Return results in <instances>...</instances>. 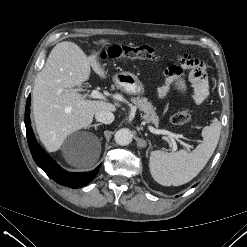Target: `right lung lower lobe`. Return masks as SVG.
<instances>
[{
    "instance_id": "obj_1",
    "label": "right lung lower lobe",
    "mask_w": 247,
    "mask_h": 247,
    "mask_svg": "<svg viewBox=\"0 0 247 247\" xmlns=\"http://www.w3.org/2000/svg\"><path fill=\"white\" fill-rule=\"evenodd\" d=\"M30 95L27 98L25 109L26 135L31 154L37 165L56 183L70 188H80L87 185L98 173L99 165L95 170L85 173H72L62 169L37 143L30 122Z\"/></svg>"
}]
</instances>
